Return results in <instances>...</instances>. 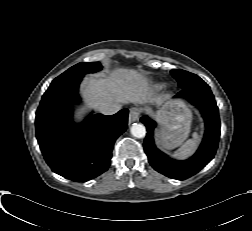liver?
Wrapping results in <instances>:
<instances>
[{
	"label": "liver",
	"mask_w": 252,
	"mask_h": 231,
	"mask_svg": "<svg viewBox=\"0 0 252 231\" xmlns=\"http://www.w3.org/2000/svg\"><path fill=\"white\" fill-rule=\"evenodd\" d=\"M86 103L99 110L113 103H156L164 98L153 95L148 80L133 69L118 68L108 76L87 77L81 87Z\"/></svg>",
	"instance_id": "liver-1"
}]
</instances>
